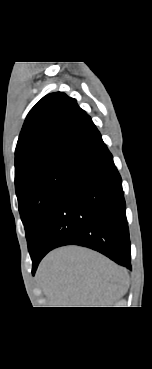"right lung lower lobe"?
<instances>
[{"mask_svg":"<svg viewBox=\"0 0 152 369\" xmlns=\"http://www.w3.org/2000/svg\"><path fill=\"white\" fill-rule=\"evenodd\" d=\"M122 180L100 139L73 164L31 254L34 274L52 249L79 245L131 269Z\"/></svg>","mask_w":152,"mask_h":369,"instance_id":"98d812e1","label":"right lung lower lobe"}]
</instances>
